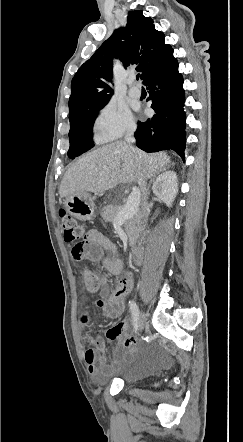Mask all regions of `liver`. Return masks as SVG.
<instances>
[{
	"instance_id": "liver-1",
	"label": "liver",
	"mask_w": 243,
	"mask_h": 442,
	"mask_svg": "<svg viewBox=\"0 0 243 442\" xmlns=\"http://www.w3.org/2000/svg\"><path fill=\"white\" fill-rule=\"evenodd\" d=\"M170 157L165 152L149 154L117 141L94 149L79 158L65 173L59 188L61 198L92 192L102 194L119 183L137 179V164L145 177L162 171Z\"/></svg>"
}]
</instances>
